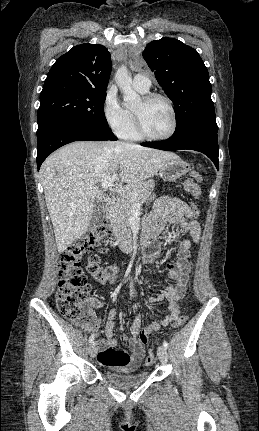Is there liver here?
<instances>
[{
  "instance_id": "1",
  "label": "liver",
  "mask_w": 259,
  "mask_h": 431,
  "mask_svg": "<svg viewBox=\"0 0 259 431\" xmlns=\"http://www.w3.org/2000/svg\"><path fill=\"white\" fill-rule=\"evenodd\" d=\"M174 153L113 141H78L52 153L40 175L58 252L88 229L94 206L103 200L98 187L119 174L118 182L134 184L157 174Z\"/></svg>"
}]
</instances>
